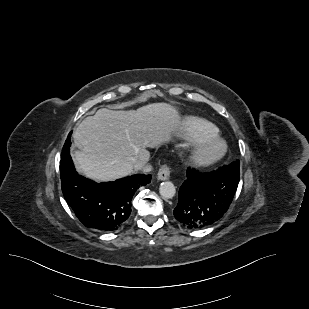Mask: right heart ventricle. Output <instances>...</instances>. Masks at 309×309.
Segmentation results:
<instances>
[{
  "label": "right heart ventricle",
  "mask_w": 309,
  "mask_h": 309,
  "mask_svg": "<svg viewBox=\"0 0 309 309\" xmlns=\"http://www.w3.org/2000/svg\"><path fill=\"white\" fill-rule=\"evenodd\" d=\"M180 134L183 138L188 140H199L216 136L218 134V129L204 119L190 116L183 120Z\"/></svg>",
  "instance_id": "e07e8e85"
}]
</instances>
